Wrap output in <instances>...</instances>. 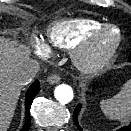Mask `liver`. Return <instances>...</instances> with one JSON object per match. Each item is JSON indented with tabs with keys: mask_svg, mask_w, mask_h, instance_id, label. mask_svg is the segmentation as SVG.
Returning a JSON list of instances; mask_svg holds the SVG:
<instances>
[{
	"mask_svg": "<svg viewBox=\"0 0 131 131\" xmlns=\"http://www.w3.org/2000/svg\"><path fill=\"white\" fill-rule=\"evenodd\" d=\"M29 50L0 38V131H6L16 109L22 86L18 74L30 62Z\"/></svg>",
	"mask_w": 131,
	"mask_h": 131,
	"instance_id": "obj_1",
	"label": "liver"
}]
</instances>
